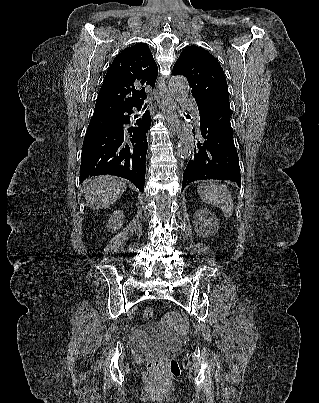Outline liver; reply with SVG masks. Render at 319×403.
Wrapping results in <instances>:
<instances>
[{
	"label": "liver",
	"instance_id": "6515ba94",
	"mask_svg": "<svg viewBox=\"0 0 319 403\" xmlns=\"http://www.w3.org/2000/svg\"><path fill=\"white\" fill-rule=\"evenodd\" d=\"M126 182L114 176H98L90 179L85 188V199L93 208H106L125 192Z\"/></svg>",
	"mask_w": 319,
	"mask_h": 403
}]
</instances>
